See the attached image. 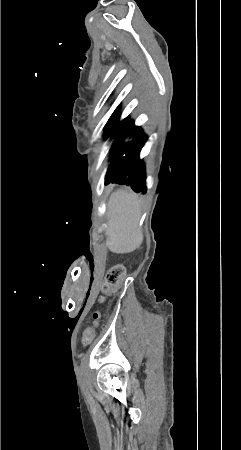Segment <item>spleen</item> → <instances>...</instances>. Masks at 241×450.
Listing matches in <instances>:
<instances>
[{
    "label": "spleen",
    "instance_id": "1",
    "mask_svg": "<svg viewBox=\"0 0 241 450\" xmlns=\"http://www.w3.org/2000/svg\"><path fill=\"white\" fill-rule=\"evenodd\" d=\"M109 210L113 226L105 235L107 248L114 254L134 252L143 242V234L138 228V194L132 190H116L110 196Z\"/></svg>",
    "mask_w": 241,
    "mask_h": 450
}]
</instances>
